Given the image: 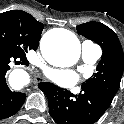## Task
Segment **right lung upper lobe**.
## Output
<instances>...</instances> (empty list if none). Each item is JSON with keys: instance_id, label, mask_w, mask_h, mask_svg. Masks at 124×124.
Returning <instances> with one entry per match:
<instances>
[{"instance_id": "cb5924a9", "label": "right lung upper lobe", "mask_w": 124, "mask_h": 124, "mask_svg": "<svg viewBox=\"0 0 124 124\" xmlns=\"http://www.w3.org/2000/svg\"><path fill=\"white\" fill-rule=\"evenodd\" d=\"M8 15H12L17 18L19 21L24 23L28 30L32 33L33 36L38 38V43L41 38V33L44 28L43 24L35 20L30 14L21 11V10H12L5 12Z\"/></svg>"}]
</instances>
